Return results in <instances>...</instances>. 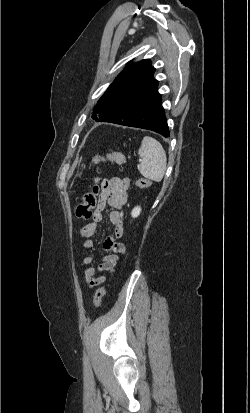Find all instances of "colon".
<instances>
[{"label": "colon", "mask_w": 250, "mask_h": 413, "mask_svg": "<svg viewBox=\"0 0 250 413\" xmlns=\"http://www.w3.org/2000/svg\"><path fill=\"white\" fill-rule=\"evenodd\" d=\"M100 162H112L118 165H126L127 160L125 156L120 153H112L106 156L96 155L93 157V164H98ZM136 186L139 188H146L150 186V181L145 178H139L136 180ZM100 195V179L99 177H94L91 190L83 196L81 203L76 208V216L79 219L90 218L93 209L97 206ZM104 295L105 288L99 287L94 295V304L97 308L101 307Z\"/></svg>", "instance_id": "colon-1"}]
</instances>
